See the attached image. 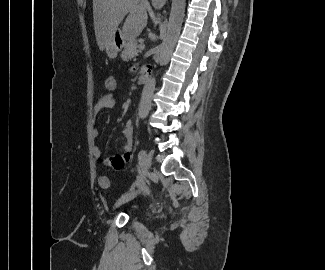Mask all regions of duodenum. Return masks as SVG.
Wrapping results in <instances>:
<instances>
[{"mask_svg": "<svg viewBox=\"0 0 325 270\" xmlns=\"http://www.w3.org/2000/svg\"><path fill=\"white\" fill-rule=\"evenodd\" d=\"M139 81H140V83H142V84H146V83L148 82V76L145 75V74L140 75V77H139Z\"/></svg>", "mask_w": 325, "mask_h": 270, "instance_id": "obj_1", "label": "duodenum"}]
</instances>
